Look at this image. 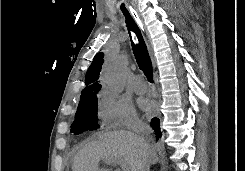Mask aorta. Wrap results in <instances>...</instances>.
I'll list each match as a JSON object with an SVG mask.
<instances>
[{
	"instance_id": "762f6f07",
	"label": "aorta",
	"mask_w": 245,
	"mask_h": 171,
	"mask_svg": "<svg viewBox=\"0 0 245 171\" xmlns=\"http://www.w3.org/2000/svg\"><path fill=\"white\" fill-rule=\"evenodd\" d=\"M129 63V54L122 52L115 60L107 65L103 82L109 90L114 92H121L123 90Z\"/></svg>"
}]
</instances>
